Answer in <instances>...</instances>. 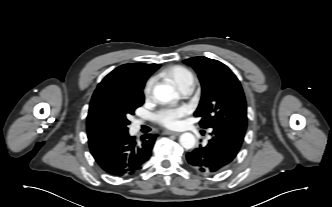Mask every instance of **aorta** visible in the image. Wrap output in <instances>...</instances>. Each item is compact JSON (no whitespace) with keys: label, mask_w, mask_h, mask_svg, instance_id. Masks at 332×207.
Wrapping results in <instances>:
<instances>
[{"label":"aorta","mask_w":332,"mask_h":207,"mask_svg":"<svg viewBox=\"0 0 332 207\" xmlns=\"http://www.w3.org/2000/svg\"><path fill=\"white\" fill-rule=\"evenodd\" d=\"M153 94L162 103H168L179 98V94L168 84L156 85L153 89ZM179 142L183 148L191 149L195 146L196 139L192 133L187 132L180 136Z\"/></svg>","instance_id":"obj_1"}]
</instances>
